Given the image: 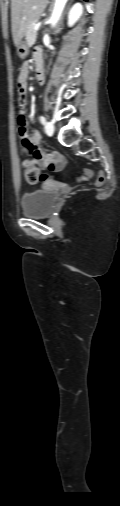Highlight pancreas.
<instances>
[{
  "label": "pancreas",
  "instance_id": "1",
  "mask_svg": "<svg viewBox=\"0 0 120 506\" xmlns=\"http://www.w3.org/2000/svg\"><path fill=\"white\" fill-rule=\"evenodd\" d=\"M34 24H30L26 31V41L28 46H32L36 40L37 31L34 30Z\"/></svg>",
  "mask_w": 120,
  "mask_h": 506
}]
</instances>
